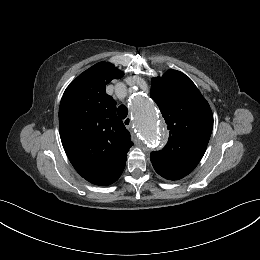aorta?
Segmentation results:
<instances>
[{"mask_svg": "<svg viewBox=\"0 0 260 260\" xmlns=\"http://www.w3.org/2000/svg\"><path fill=\"white\" fill-rule=\"evenodd\" d=\"M131 109L139 137L150 150L163 145V138L157 122V113L153 103L145 96L136 94L131 100Z\"/></svg>", "mask_w": 260, "mask_h": 260, "instance_id": "1", "label": "aorta"}]
</instances>
